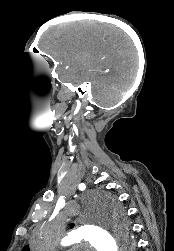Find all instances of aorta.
<instances>
[{
    "label": "aorta",
    "instance_id": "1",
    "mask_svg": "<svg viewBox=\"0 0 174 251\" xmlns=\"http://www.w3.org/2000/svg\"><path fill=\"white\" fill-rule=\"evenodd\" d=\"M61 233L54 226L40 230L36 240L38 246L45 242L46 250H52L60 243L63 246L89 242L97 251H130L131 234L114 219L101 213L98 203L93 201L85 213V222L76 230L60 239Z\"/></svg>",
    "mask_w": 174,
    "mask_h": 251
}]
</instances>
